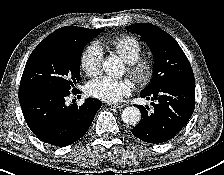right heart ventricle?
Wrapping results in <instances>:
<instances>
[{"mask_svg":"<svg viewBox=\"0 0 224 175\" xmlns=\"http://www.w3.org/2000/svg\"><path fill=\"white\" fill-rule=\"evenodd\" d=\"M100 44L110 47L127 63L137 60L142 51L138 39L130 35H120Z\"/></svg>","mask_w":224,"mask_h":175,"instance_id":"right-heart-ventricle-1","label":"right heart ventricle"}]
</instances>
